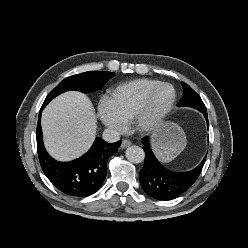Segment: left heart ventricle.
Listing matches in <instances>:
<instances>
[{
    "instance_id": "obj_1",
    "label": "left heart ventricle",
    "mask_w": 248,
    "mask_h": 248,
    "mask_svg": "<svg viewBox=\"0 0 248 248\" xmlns=\"http://www.w3.org/2000/svg\"><path fill=\"white\" fill-rule=\"evenodd\" d=\"M172 97V90L168 87L160 89L154 100V109L158 110L164 107Z\"/></svg>"
}]
</instances>
